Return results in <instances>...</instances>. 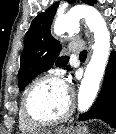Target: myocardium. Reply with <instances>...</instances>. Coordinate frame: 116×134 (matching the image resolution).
I'll use <instances>...</instances> for the list:
<instances>
[{"label": "myocardium", "mask_w": 116, "mask_h": 134, "mask_svg": "<svg viewBox=\"0 0 116 134\" xmlns=\"http://www.w3.org/2000/svg\"><path fill=\"white\" fill-rule=\"evenodd\" d=\"M47 81H57V82H63V79L55 74H46L40 78H38L35 82H33L25 91L22 99H21V110L28 122L31 124L38 126V127H45V126H50V125H55L62 123L66 121L70 115L72 114L74 110V98L72 95H70V101H69V106L67 110L58 117H53V118H38L35 115L32 114V112L29 109V99L32 94V92L42 83L47 82Z\"/></svg>", "instance_id": "obj_1"}]
</instances>
